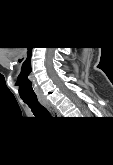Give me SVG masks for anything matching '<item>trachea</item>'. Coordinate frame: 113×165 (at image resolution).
Returning a JSON list of instances; mask_svg holds the SVG:
<instances>
[{"label":"trachea","instance_id":"obj_1","mask_svg":"<svg viewBox=\"0 0 113 165\" xmlns=\"http://www.w3.org/2000/svg\"><path fill=\"white\" fill-rule=\"evenodd\" d=\"M32 110L33 114L38 117H51L49 111L39 103L38 100H23Z\"/></svg>","mask_w":113,"mask_h":165}]
</instances>
